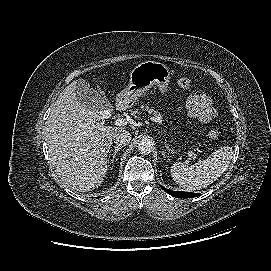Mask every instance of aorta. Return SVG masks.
Returning <instances> with one entry per match:
<instances>
[{
	"instance_id": "762f6f07",
	"label": "aorta",
	"mask_w": 271,
	"mask_h": 271,
	"mask_svg": "<svg viewBox=\"0 0 271 271\" xmlns=\"http://www.w3.org/2000/svg\"><path fill=\"white\" fill-rule=\"evenodd\" d=\"M138 150L142 154H145V155L150 154L153 150L152 140H150L148 138H143L142 140H140L138 143Z\"/></svg>"
}]
</instances>
